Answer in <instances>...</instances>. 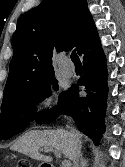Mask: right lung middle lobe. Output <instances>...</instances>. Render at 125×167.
Listing matches in <instances>:
<instances>
[{"label": "right lung middle lobe", "instance_id": "dd1d6c3e", "mask_svg": "<svg viewBox=\"0 0 125 167\" xmlns=\"http://www.w3.org/2000/svg\"><path fill=\"white\" fill-rule=\"evenodd\" d=\"M58 90L57 81L50 78L38 87L19 96L3 99L1 106L0 139L5 140L23 131L30 122L40 118L46 111L35 113V105L43 98L51 95V86ZM61 93L59 100L64 96Z\"/></svg>", "mask_w": 125, "mask_h": 167}]
</instances>
